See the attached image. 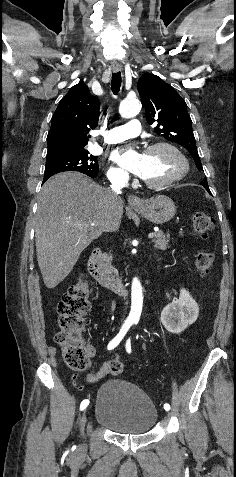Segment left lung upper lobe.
I'll use <instances>...</instances> for the list:
<instances>
[{"label":"left lung upper lobe","mask_w":236,"mask_h":477,"mask_svg":"<svg viewBox=\"0 0 236 477\" xmlns=\"http://www.w3.org/2000/svg\"><path fill=\"white\" fill-rule=\"evenodd\" d=\"M137 87L145 104L147 122L149 124L157 122L155 132L186 148L198 170H203L192 130V121L182 97L171 85L151 73L142 75ZM200 184L210 192L206 178Z\"/></svg>","instance_id":"1"}]
</instances>
